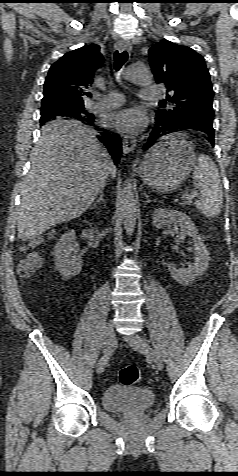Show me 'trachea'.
<instances>
[{"mask_svg":"<svg viewBox=\"0 0 238 476\" xmlns=\"http://www.w3.org/2000/svg\"><path fill=\"white\" fill-rule=\"evenodd\" d=\"M128 59V53L126 51H123L122 53H119L118 51L115 52L114 54V68L116 71H119L122 65L127 61Z\"/></svg>","mask_w":238,"mask_h":476,"instance_id":"trachea-1","label":"trachea"}]
</instances>
